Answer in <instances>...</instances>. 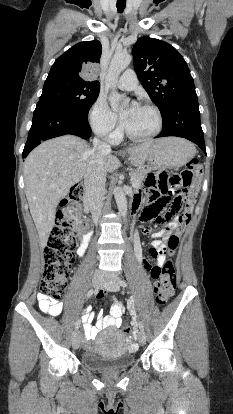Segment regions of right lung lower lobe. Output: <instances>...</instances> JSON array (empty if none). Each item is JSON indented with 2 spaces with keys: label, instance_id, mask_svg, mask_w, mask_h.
Masks as SVG:
<instances>
[{
  "label": "right lung lower lobe",
  "instance_id": "right-lung-lower-lobe-1",
  "mask_svg": "<svg viewBox=\"0 0 233 414\" xmlns=\"http://www.w3.org/2000/svg\"><path fill=\"white\" fill-rule=\"evenodd\" d=\"M88 113H83L52 101H39L33 114L32 126L22 156L42 141L57 136L73 134L84 139L91 135L87 120Z\"/></svg>",
  "mask_w": 233,
  "mask_h": 414
}]
</instances>
